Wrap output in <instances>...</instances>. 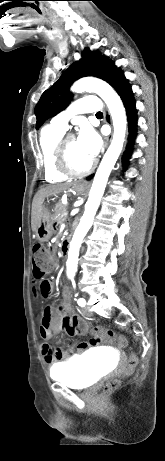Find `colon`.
Wrapping results in <instances>:
<instances>
[{
    "label": "colon",
    "instance_id": "obj_1",
    "mask_svg": "<svg viewBox=\"0 0 165 461\" xmlns=\"http://www.w3.org/2000/svg\"><path fill=\"white\" fill-rule=\"evenodd\" d=\"M32 265H33L32 274L35 279H41L45 273L51 270L52 261L49 256V251L44 245L36 244L33 247ZM93 333H94V336H97L98 333H101L103 338H107L115 342L120 347H125L127 345L126 338L122 335L116 334L112 330H105V329L97 327L93 329ZM136 364H137V356L135 353H132L129 357L125 374L126 375L130 374L135 368ZM118 385H119L118 379H111L106 383L105 388L107 390H111V389L116 388Z\"/></svg>",
    "mask_w": 165,
    "mask_h": 461
}]
</instances>
